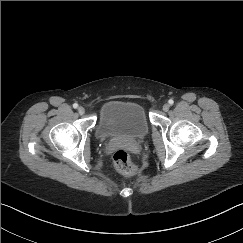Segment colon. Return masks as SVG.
I'll use <instances>...</instances> for the list:
<instances>
[{"mask_svg": "<svg viewBox=\"0 0 243 243\" xmlns=\"http://www.w3.org/2000/svg\"><path fill=\"white\" fill-rule=\"evenodd\" d=\"M113 162L117 170L122 174L133 176L138 173V169L132 163L129 154L123 149L115 152L113 156Z\"/></svg>", "mask_w": 243, "mask_h": 243, "instance_id": "obj_1", "label": "colon"}]
</instances>
